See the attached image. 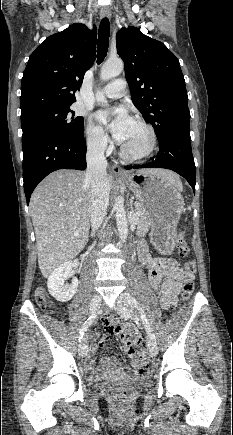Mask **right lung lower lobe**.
I'll return each instance as SVG.
<instances>
[{"instance_id": "right-lung-lower-lobe-1", "label": "right lung lower lobe", "mask_w": 233, "mask_h": 435, "mask_svg": "<svg viewBox=\"0 0 233 435\" xmlns=\"http://www.w3.org/2000/svg\"><path fill=\"white\" fill-rule=\"evenodd\" d=\"M23 181L27 204L35 187L49 173L58 169L86 168V145L83 134L68 138L55 133L37 135L22 141Z\"/></svg>"}]
</instances>
